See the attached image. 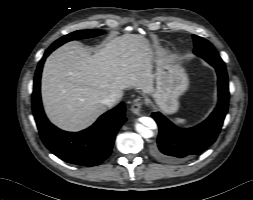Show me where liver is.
I'll list each match as a JSON object with an SVG mask.
<instances>
[{
	"instance_id": "liver-1",
	"label": "liver",
	"mask_w": 253,
	"mask_h": 200,
	"mask_svg": "<svg viewBox=\"0 0 253 200\" xmlns=\"http://www.w3.org/2000/svg\"><path fill=\"white\" fill-rule=\"evenodd\" d=\"M150 46L142 36L125 34L110 38L91 55L69 42L46 59L41 93L48 118L61 129L79 131L107 110L111 93L135 88L152 93L154 75Z\"/></svg>"
}]
</instances>
